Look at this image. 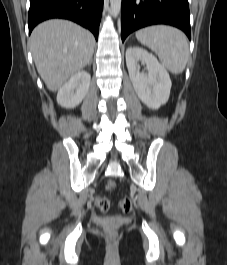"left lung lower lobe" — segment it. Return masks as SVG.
Returning <instances> with one entry per match:
<instances>
[{"mask_svg": "<svg viewBox=\"0 0 227 265\" xmlns=\"http://www.w3.org/2000/svg\"><path fill=\"white\" fill-rule=\"evenodd\" d=\"M153 24H168L191 39L188 0H122V41L133 31Z\"/></svg>", "mask_w": 227, "mask_h": 265, "instance_id": "obj_1", "label": "left lung lower lobe"}]
</instances>
